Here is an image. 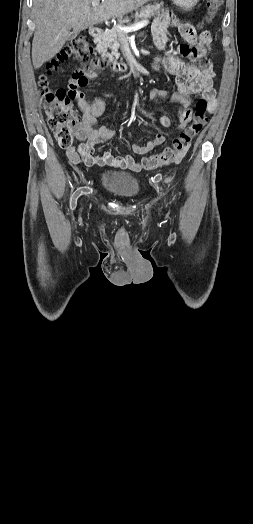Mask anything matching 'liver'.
Returning a JSON list of instances; mask_svg holds the SVG:
<instances>
[{
  "label": "liver",
  "instance_id": "6515ba94",
  "mask_svg": "<svg viewBox=\"0 0 253 524\" xmlns=\"http://www.w3.org/2000/svg\"><path fill=\"white\" fill-rule=\"evenodd\" d=\"M34 0L36 30L32 42V62L35 69L52 59L70 35L111 18L121 19L149 0ZM73 29V32L71 31Z\"/></svg>",
  "mask_w": 253,
  "mask_h": 524
}]
</instances>
